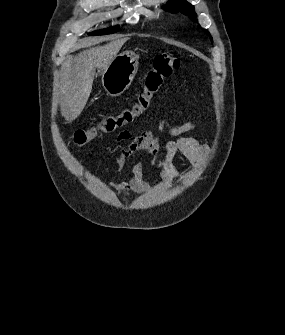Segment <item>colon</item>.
<instances>
[{"label":"colon","mask_w":285,"mask_h":335,"mask_svg":"<svg viewBox=\"0 0 285 335\" xmlns=\"http://www.w3.org/2000/svg\"><path fill=\"white\" fill-rule=\"evenodd\" d=\"M179 66L180 61L174 54L169 52L157 54L145 76L144 87L137 95L135 102L118 114L105 116L94 126L75 131L73 143L78 147L84 146L99 133H110L133 122L149 108L154 95L159 91L164 81L171 77Z\"/></svg>","instance_id":"obj_1"}]
</instances>
